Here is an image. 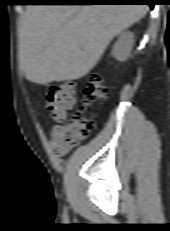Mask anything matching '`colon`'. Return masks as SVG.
I'll return each instance as SVG.
<instances>
[{
	"label": "colon",
	"mask_w": 170,
	"mask_h": 231,
	"mask_svg": "<svg viewBox=\"0 0 170 231\" xmlns=\"http://www.w3.org/2000/svg\"><path fill=\"white\" fill-rule=\"evenodd\" d=\"M109 89L98 73H92L83 92L82 105L72 118H66L68 110L75 105V89L72 82L53 86L47 96V109L55 121L63 122V138L70 147L87 140L96 127L93 117L84 114L85 108L96 102H105Z\"/></svg>",
	"instance_id": "1"
}]
</instances>
